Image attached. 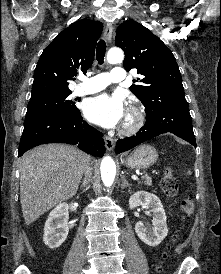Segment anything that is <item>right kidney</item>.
Wrapping results in <instances>:
<instances>
[{
	"instance_id": "obj_1",
	"label": "right kidney",
	"mask_w": 221,
	"mask_h": 274,
	"mask_svg": "<svg viewBox=\"0 0 221 274\" xmlns=\"http://www.w3.org/2000/svg\"><path fill=\"white\" fill-rule=\"evenodd\" d=\"M69 206L60 203L49 214L44 226L43 241L51 249L60 247L69 233Z\"/></svg>"
}]
</instances>
